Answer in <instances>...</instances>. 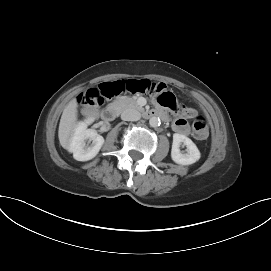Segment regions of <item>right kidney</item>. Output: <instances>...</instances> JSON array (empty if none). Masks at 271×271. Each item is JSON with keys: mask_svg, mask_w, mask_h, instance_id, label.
<instances>
[{"mask_svg": "<svg viewBox=\"0 0 271 271\" xmlns=\"http://www.w3.org/2000/svg\"><path fill=\"white\" fill-rule=\"evenodd\" d=\"M93 119H87L79 122L74 128L70 142L69 152L73 153L77 161H88L93 159L104 144V138L93 129H87V126ZM92 143L88 145L86 141Z\"/></svg>", "mask_w": 271, "mask_h": 271, "instance_id": "obj_1", "label": "right kidney"}]
</instances>
